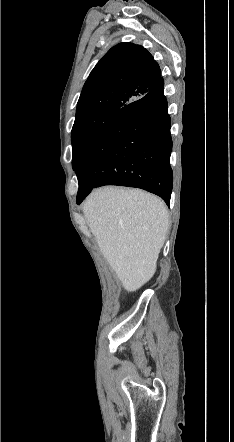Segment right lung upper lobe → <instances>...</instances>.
I'll return each mask as SVG.
<instances>
[{"mask_svg":"<svg viewBox=\"0 0 234 442\" xmlns=\"http://www.w3.org/2000/svg\"><path fill=\"white\" fill-rule=\"evenodd\" d=\"M160 79L159 65L144 47L117 44L91 71L77 103L75 120L119 110L145 95Z\"/></svg>","mask_w":234,"mask_h":442,"instance_id":"right-lung-upper-lobe-1","label":"right lung upper lobe"}]
</instances>
